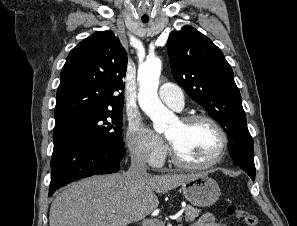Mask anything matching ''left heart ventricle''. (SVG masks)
<instances>
[{
    "label": "left heart ventricle",
    "mask_w": 297,
    "mask_h": 226,
    "mask_svg": "<svg viewBox=\"0 0 297 226\" xmlns=\"http://www.w3.org/2000/svg\"><path fill=\"white\" fill-rule=\"evenodd\" d=\"M165 135L184 160L197 164L213 159L221 143L215 128L204 121L182 124L177 120L167 128Z\"/></svg>",
    "instance_id": "left-heart-ventricle-1"
}]
</instances>
